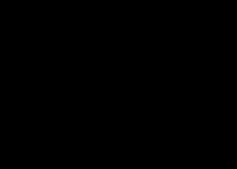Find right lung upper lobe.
<instances>
[{
  "instance_id": "obj_1",
  "label": "right lung upper lobe",
  "mask_w": 237,
  "mask_h": 169,
  "mask_svg": "<svg viewBox=\"0 0 237 169\" xmlns=\"http://www.w3.org/2000/svg\"><path fill=\"white\" fill-rule=\"evenodd\" d=\"M126 39L125 34L81 33L62 44L49 59L42 79L51 124L80 106L93 92V74Z\"/></svg>"
}]
</instances>
